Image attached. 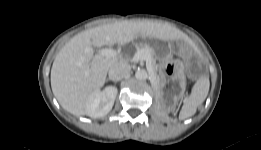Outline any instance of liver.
Wrapping results in <instances>:
<instances>
[{"instance_id": "1", "label": "liver", "mask_w": 261, "mask_h": 150, "mask_svg": "<svg viewBox=\"0 0 261 150\" xmlns=\"http://www.w3.org/2000/svg\"><path fill=\"white\" fill-rule=\"evenodd\" d=\"M187 40L180 30L163 23L120 21L85 30L70 39L56 55L51 69V88L59 104L73 115H87L88 105L106 81L117 57L94 48L126 44L136 37Z\"/></svg>"}]
</instances>
